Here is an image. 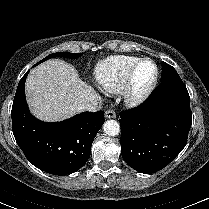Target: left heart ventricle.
<instances>
[{"mask_svg": "<svg viewBox=\"0 0 209 209\" xmlns=\"http://www.w3.org/2000/svg\"><path fill=\"white\" fill-rule=\"evenodd\" d=\"M155 68L151 62L142 63L135 75V87L138 90L146 88L153 80Z\"/></svg>", "mask_w": 209, "mask_h": 209, "instance_id": "b2bd125f", "label": "left heart ventricle"}]
</instances>
